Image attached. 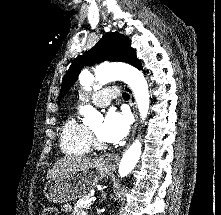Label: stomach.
I'll use <instances>...</instances> for the list:
<instances>
[{"label":"stomach","mask_w":221,"mask_h":215,"mask_svg":"<svg viewBox=\"0 0 221 215\" xmlns=\"http://www.w3.org/2000/svg\"><path fill=\"white\" fill-rule=\"evenodd\" d=\"M110 174V168L100 160L74 174L52 178L44 186V196L53 203H66L90 194L93 188Z\"/></svg>","instance_id":"obj_1"}]
</instances>
